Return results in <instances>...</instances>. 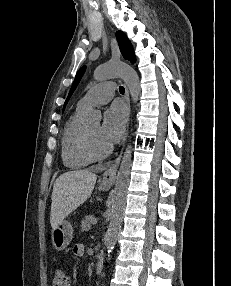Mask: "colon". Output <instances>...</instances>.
Wrapping results in <instances>:
<instances>
[{
  "label": "colon",
  "instance_id": "1",
  "mask_svg": "<svg viewBox=\"0 0 231 286\" xmlns=\"http://www.w3.org/2000/svg\"><path fill=\"white\" fill-rule=\"evenodd\" d=\"M53 286H71L69 275L62 269H57L53 276Z\"/></svg>",
  "mask_w": 231,
  "mask_h": 286
}]
</instances>
